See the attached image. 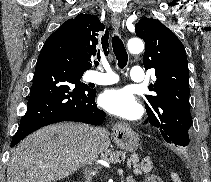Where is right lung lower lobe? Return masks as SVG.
<instances>
[{
  "label": "right lung lower lobe",
  "instance_id": "1",
  "mask_svg": "<svg viewBox=\"0 0 211 182\" xmlns=\"http://www.w3.org/2000/svg\"><path fill=\"white\" fill-rule=\"evenodd\" d=\"M75 38L59 27L46 40L37 60L27 112L11 147L33 131L61 121L100 125L104 111L95 103L96 90L80 82L86 69Z\"/></svg>",
  "mask_w": 211,
  "mask_h": 182
}]
</instances>
